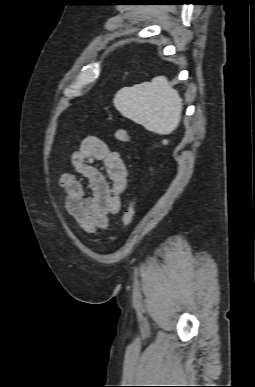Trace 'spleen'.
Returning a JSON list of instances; mask_svg holds the SVG:
<instances>
[{"mask_svg": "<svg viewBox=\"0 0 255 387\" xmlns=\"http://www.w3.org/2000/svg\"><path fill=\"white\" fill-rule=\"evenodd\" d=\"M114 106L122 116L158 134H170L181 119L182 99L164 76L120 89Z\"/></svg>", "mask_w": 255, "mask_h": 387, "instance_id": "3e777b00", "label": "spleen"}]
</instances>
